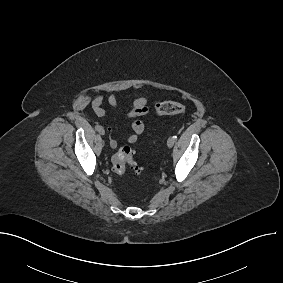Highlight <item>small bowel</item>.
<instances>
[{"label":"small bowel","mask_w":283,"mask_h":283,"mask_svg":"<svg viewBox=\"0 0 283 283\" xmlns=\"http://www.w3.org/2000/svg\"><path fill=\"white\" fill-rule=\"evenodd\" d=\"M103 101L104 97L98 94L93 98L91 103L94 113L100 118H103L106 115ZM107 102L114 109L120 108L117 94L114 92L108 95ZM148 113V100L145 97H139L131 103L126 114L127 119L130 120V127L132 129V133L126 139L128 143H135L138 139V136L145 131V124L139 118L147 115ZM109 143L112 148L117 146V141L113 137H110Z\"/></svg>","instance_id":"obj_1"}]
</instances>
